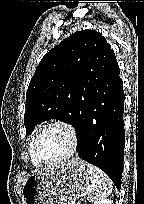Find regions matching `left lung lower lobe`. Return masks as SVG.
<instances>
[{"mask_svg":"<svg viewBox=\"0 0 144 204\" xmlns=\"http://www.w3.org/2000/svg\"><path fill=\"white\" fill-rule=\"evenodd\" d=\"M116 57L99 65L87 97L82 129L77 133L79 157L102 169L121 188L125 131L124 91Z\"/></svg>","mask_w":144,"mask_h":204,"instance_id":"1","label":"left lung lower lobe"}]
</instances>
